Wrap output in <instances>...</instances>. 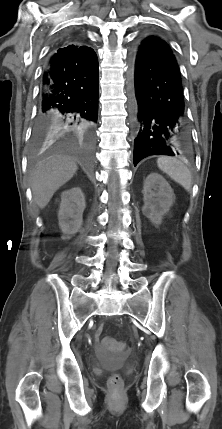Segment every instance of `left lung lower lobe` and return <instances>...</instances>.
<instances>
[{"label":"left lung lower lobe","mask_w":222,"mask_h":429,"mask_svg":"<svg viewBox=\"0 0 222 429\" xmlns=\"http://www.w3.org/2000/svg\"><path fill=\"white\" fill-rule=\"evenodd\" d=\"M134 166L152 155L190 148V129L177 61L159 36L142 38L130 54Z\"/></svg>","instance_id":"obj_1"}]
</instances>
